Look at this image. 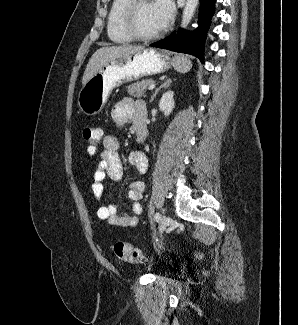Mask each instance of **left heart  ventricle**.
I'll return each mask as SVG.
<instances>
[{"label":"left heart ventricle","instance_id":"obj_1","mask_svg":"<svg viewBox=\"0 0 298 325\" xmlns=\"http://www.w3.org/2000/svg\"><path fill=\"white\" fill-rule=\"evenodd\" d=\"M132 25L143 35H150L163 29L157 1L148 0L139 4L133 12Z\"/></svg>","mask_w":298,"mask_h":325}]
</instances>
